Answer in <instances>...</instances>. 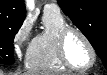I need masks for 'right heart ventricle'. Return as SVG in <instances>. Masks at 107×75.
<instances>
[{
	"label": "right heart ventricle",
	"instance_id": "1",
	"mask_svg": "<svg viewBox=\"0 0 107 75\" xmlns=\"http://www.w3.org/2000/svg\"><path fill=\"white\" fill-rule=\"evenodd\" d=\"M67 26L60 13L44 12L43 28L31 41L26 67L36 72H60L66 67L60 62L57 53V37L59 32Z\"/></svg>",
	"mask_w": 107,
	"mask_h": 75
}]
</instances>
